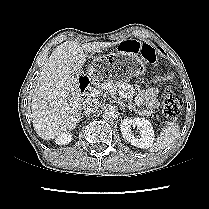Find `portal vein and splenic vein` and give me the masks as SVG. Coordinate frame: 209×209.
<instances>
[{
    "label": "portal vein and splenic vein",
    "instance_id": "1",
    "mask_svg": "<svg viewBox=\"0 0 209 209\" xmlns=\"http://www.w3.org/2000/svg\"><path fill=\"white\" fill-rule=\"evenodd\" d=\"M103 94V91L101 89H93L91 92H90V96L91 97H98V96H101ZM119 95L121 98H126V94L124 93V91L120 90L119 91Z\"/></svg>",
    "mask_w": 209,
    "mask_h": 209
}]
</instances>
